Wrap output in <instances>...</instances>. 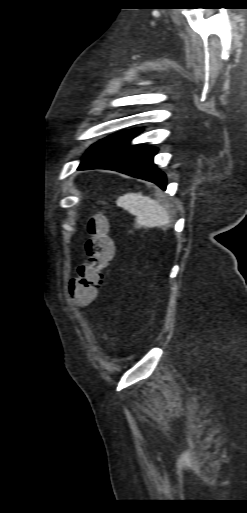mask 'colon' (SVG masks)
Wrapping results in <instances>:
<instances>
[{
	"mask_svg": "<svg viewBox=\"0 0 247 513\" xmlns=\"http://www.w3.org/2000/svg\"><path fill=\"white\" fill-rule=\"evenodd\" d=\"M87 262L77 268L68 284L70 297L79 303L92 300L103 284V269L113 256L109 224L104 217L92 216L85 224Z\"/></svg>",
	"mask_w": 247,
	"mask_h": 513,
	"instance_id": "5ec220e1",
	"label": "colon"
}]
</instances>
